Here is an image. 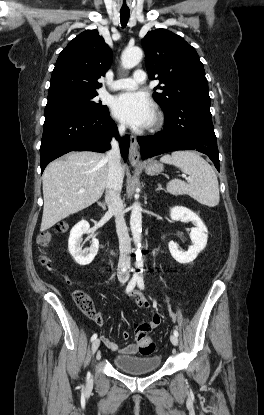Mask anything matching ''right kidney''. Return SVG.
I'll use <instances>...</instances> for the list:
<instances>
[{
  "label": "right kidney",
  "mask_w": 264,
  "mask_h": 415,
  "mask_svg": "<svg viewBox=\"0 0 264 415\" xmlns=\"http://www.w3.org/2000/svg\"><path fill=\"white\" fill-rule=\"evenodd\" d=\"M89 228V223L81 220L71 229L68 240V250L75 262L81 266L90 264L99 249V241L96 238H92L90 248L82 249V235L89 233Z\"/></svg>",
  "instance_id": "right-kidney-1"
}]
</instances>
